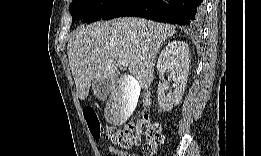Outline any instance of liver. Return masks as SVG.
I'll return each instance as SVG.
<instances>
[{"label": "liver", "mask_w": 261, "mask_h": 156, "mask_svg": "<svg viewBox=\"0 0 261 156\" xmlns=\"http://www.w3.org/2000/svg\"><path fill=\"white\" fill-rule=\"evenodd\" d=\"M174 33L171 25L135 17L78 27L67 44V55L79 98L88 97L92 82H114L120 74L119 60H126L136 83L148 88L154 78L156 55ZM135 103L116 90L106 104L105 116L109 113L113 115L110 122L121 124Z\"/></svg>", "instance_id": "6515ba94"}]
</instances>
